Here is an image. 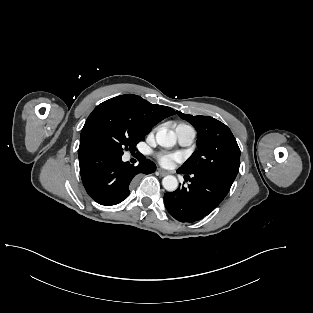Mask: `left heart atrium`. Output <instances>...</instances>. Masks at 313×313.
Segmentation results:
<instances>
[{"label": "left heart atrium", "mask_w": 313, "mask_h": 313, "mask_svg": "<svg viewBox=\"0 0 313 313\" xmlns=\"http://www.w3.org/2000/svg\"><path fill=\"white\" fill-rule=\"evenodd\" d=\"M182 159L183 156L180 153H160L158 155V161L164 167H170L174 162H180Z\"/></svg>", "instance_id": "left-heart-atrium-1"}]
</instances>
